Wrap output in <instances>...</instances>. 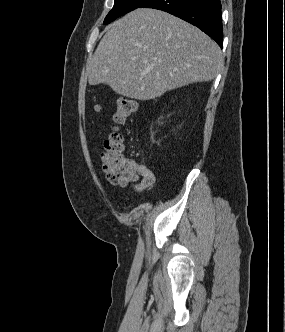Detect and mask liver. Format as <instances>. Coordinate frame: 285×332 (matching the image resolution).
<instances>
[{
  "label": "liver",
  "mask_w": 285,
  "mask_h": 332,
  "mask_svg": "<svg viewBox=\"0 0 285 332\" xmlns=\"http://www.w3.org/2000/svg\"><path fill=\"white\" fill-rule=\"evenodd\" d=\"M106 30L87 61L88 82L106 83L131 99L211 81L222 66L221 50L210 37L160 10L138 8Z\"/></svg>",
  "instance_id": "liver-1"
}]
</instances>
